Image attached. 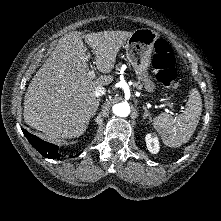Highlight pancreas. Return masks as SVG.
Returning a JSON list of instances; mask_svg holds the SVG:
<instances>
[{"mask_svg": "<svg viewBox=\"0 0 221 221\" xmlns=\"http://www.w3.org/2000/svg\"><path fill=\"white\" fill-rule=\"evenodd\" d=\"M138 86L139 89H141V85H139V83L136 84Z\"/></svg>", "mask_w": 221, "mask_h": 221, "instance_id": "obj_1", "label": "pancreas"}]
</instances>
